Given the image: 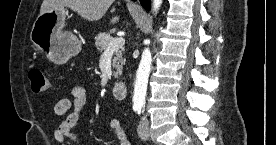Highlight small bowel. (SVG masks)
Masks as SVG:
<instances>
[{"label": "small bowel", "instance_id": "obj_1", "mask_svg": "<svg viewBox=\"0 0 276 145\" xmlns=\"http://www.w3.org/2000/svg\"><path fill=\"white\" fill-rule=\"evenodd\" d=\"M87 101V91L81 86H76L71 90V98H64L56 103L54 113L59 117L64 116L73 107V111L60 123L54 132V138L58 143L64 144L66 141H69L71 145H81L78 136L72 132V128L78 123ZM108 125L114 133L118 145H131L119 118L111 117Z\"/></svg>", "mask_w": 276, "mask_h": 145}]
</instances>
